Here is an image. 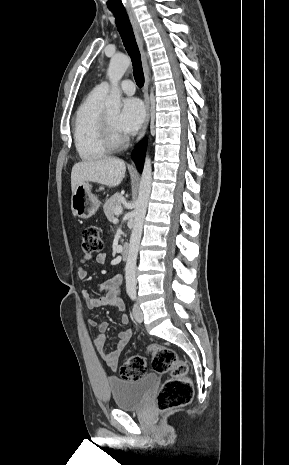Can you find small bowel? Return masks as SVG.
<instances>
[{"label": "small bowel", "instance_id": "small-bowel-1", "mask_svg": "<svg viewBox=\"0 0 289 465\" xmlns=\"http://www.w3.org/2000/svg\"><path fill=\"white\" fill-rule=\"evenodd\" d=\"M93 258L92 254H85L79 259V267L77 270V276L80 280H84L87 277L86 264ZM107 259V255L104 252H101L96 255L95 261L98 264H104ZM121 277L115 276L109 280L101 282L98 284L96 289V294L91 291L85 290L83 292L84 299L86 304L91 309H96L105 305L117 306L120 310L124 311V305L119 300V290H120ZM128 316L124 313L121 317L123 324L128 323ZM89 324L98 329L99 334L94 340V344L100 353L102 359L106 364L112 369L116 370L118 367V359L126 345L128 344L131 336L132 330L126 329L118 334V340L113 350L109 352L104 351L105 345V332L108 328V322L103 320H98L95 317L89 319Z\"/></svg>", "mask_w": 289, "mask_h": 465}]
</instances>
